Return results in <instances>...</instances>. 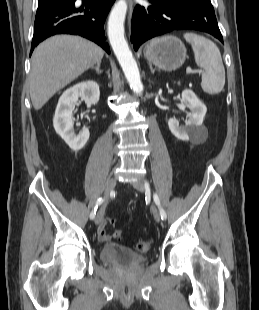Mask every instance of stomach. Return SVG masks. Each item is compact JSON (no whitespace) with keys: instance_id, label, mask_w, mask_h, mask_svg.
Returning a JSON list of instances; mask_svg holds the SVG:
<instances>
[{"instance_id":"1","label":"stomach","mask_w":259,"mask_h":310,"mask_svg":"<svg viewBox=\"0 0 259 310\" xmlns=\"http://www.w3.org/2000/svg\"><path fill=\"white\" fill-rule=\"evenodd\" d=\"M144 56L159 69L173 71L184 63L186 48L177 37L164 36L152 40L145 47Z\"/></svg>"}]
</instances>
